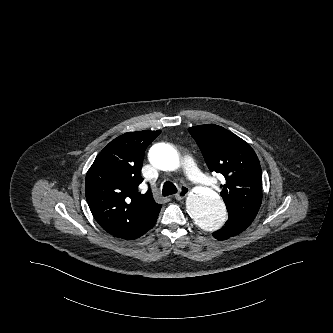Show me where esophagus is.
<instances>
[{
	"instance_id": "1",
	"label": "esophagus",
	"mask_w": 333,
	"mask_h": 333,
	"mask_svg": "<svg viewBox=\"0 0 333 333\" xmlns=\"http://www.w3.org/2000/svg\"><path fill=\"white\" fill-rule=\"evenodd\" d=\"M189 192H190L189 188H187L186 186H181L180 191L177 194H175L174 197L177 200H182L188 195Z\"/></svg>"
}]
</instances>
